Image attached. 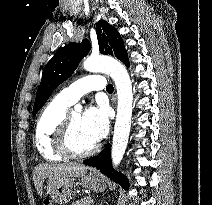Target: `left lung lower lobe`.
I'll return each mask as SVG.
<instances>
[{
  "label": "left lung lower lobe",
  "instance_id": "1",
  "mask_svg": "<svg viewBox=\"0 0 212 205\" xmlns=\"http://www.w3.org/2000/svg\"><path fill=\"white\" fill-rule=\"evenodd\" d=\"M124 64L128 67L129 61L128 59L124 62ZM86 165L96 167L99 169L104 175L113 179L115 182L119 183L125 190L128 189L129 183L126 177L120 173H117L111 166V157H110V145L108 144L106 148L98 155L94 156L90 159H87L83 162Z\"/></svg>",
  "mask_w": 212,
  "mask_h": 205
}]
</instances>
